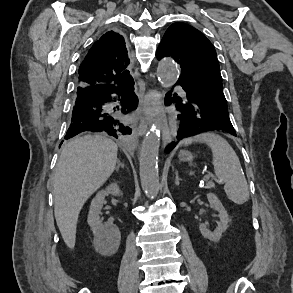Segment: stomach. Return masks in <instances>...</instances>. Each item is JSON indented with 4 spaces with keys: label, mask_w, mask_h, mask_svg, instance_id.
<instances>
[{
    "label": "stomach",
    "mask_w": 293,
    "mask_h": 293,
    "mask_svg": "<svg viewBox=\"0 0 293 293\" xmlns=\"http://www.w3.org/2000/svg\"><path fill=\"white\" fill-rule=\"evenodd\" d=\"M179 158L181 161L191 162L193 160L192 154L188 151H185V150L180 151Z\"/></svg>",
    "instance_id": "0dacf381"
}]
</instances>
